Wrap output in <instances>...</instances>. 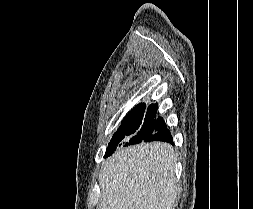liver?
<instances>
[{
  "label": "liver",
  "instance_id": "6515ba94",
  "mask_svg": "<svg viewBox=\"0 0 253 209\" xmlns=\"http://www.w3.org/2000/svg\"><path fill=\"white\" fill-rule=\"evenodd\" d=\"M176 154L167 143L121 148L101 168L100 209H173Z\"/></svg>",
  "mask_w": 253,
  "mask_h": 209
}]
</instances>
